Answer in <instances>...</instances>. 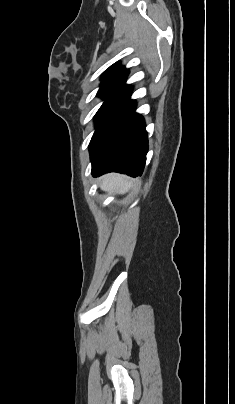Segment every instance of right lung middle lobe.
I'll list each match as a JSON object with an SVG mask.
<instances>
[{"label":"right lung middle lobe","mask_w":235,"mask_h":404,"mask_svg":"<svg viewBox=\"0 0 235 404\" xmlns=\"http://www.w3.org/2000/svg\"><path fill=\"white\" fill-rule=\"evenodd\" d=\"M128 86L126 85H101L97 96L105 101L95 115L96 126L102 121L106 114L115 106L124 96Z\"/></svg>","instance_id":"obj_1"}]
</instances>
